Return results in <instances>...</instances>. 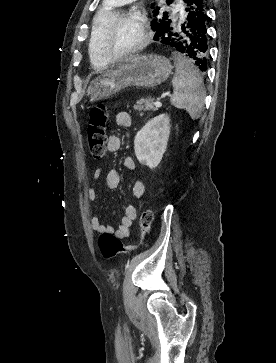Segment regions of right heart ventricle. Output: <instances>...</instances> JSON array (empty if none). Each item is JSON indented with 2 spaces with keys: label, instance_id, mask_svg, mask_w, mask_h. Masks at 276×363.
I'll list each match as a JSON object with an SVG mask.
<instances>
[{
  "label": "right heart ventricle",
  "instance_id": "obj_1",
  "mask_svg": "<svg viewBox=\"0 0 276 363\" xmlns=\"http://www.w3.org/2000/svg\"><path fill=\"white\" fill-rule=\"evenodd\" d=\"M117 4L111 0H106L98 11L93 22V31L89 45V54L91 58L92 65L95 68L102 69L107 67L110 62H108L102 55L99 48V37L102 29L110 21V19L116 13Z\"/></svg>",
  "mask_w": 276,
  "mask_h": 363
}]
</instances>
